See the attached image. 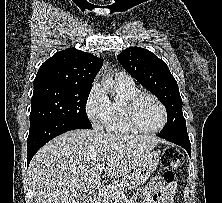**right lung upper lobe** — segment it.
Here are the masks:
<instances>
[{
	"label": "right lung upper lobe",
	"mask_w": 222,
	"mask_h": 203,
	"mask_svg": "<svg viewBox=\"0 0 222 203\" xmlns=\"http://www.w3.org/2000/svg\"><path fill=\"white\" fill-rule=\"evenodd\" d=\"M102 65L100 58L76 48L59 51L39 68L34 91L53 86L92 87Z\"/></svg>",
	"instance_id": "obj_1"
}]
</instances>
